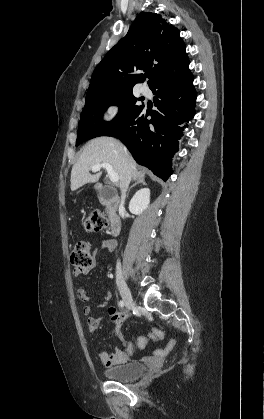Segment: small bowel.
<instances>
[{"label": "small bowel", "instance_id": "c3829d8e", "mask_svg": "<svg viewBox=\"0 0 264 419\" xmlns=\"http://www.w3.org/2000/svg\"><path fill=\"white\" fill-rule=\"evenodd\" d=\"M98 249L105 250L112 252L115 249V242L110 239H101L97 246ZM96 252V250H95ZM94 266L90 268H75L73 271V275L75 278H81L83 275H86ZM77 296L82 301H89L90 297L87 294V291L84 288H80L77 291ZM111 295L109 292L106 293L105 302L101 305V307H105L107 301L110 299ZM82 313L87 316V324L90 333L97 331L100 328L102 318H96L90 316L91 307L85 305L82 308ZM108 314L110 315L111 319L115 322L114 334L118 336L122 343L125 345V349L122 350L121 348H116L113 353L109 354L104 350H98L97 356L99 360L105 365L106 367H113L116 365L123 364L129 360V357L133 355L134 348L131 346L130 343H125L124 336L122 333V325L125 322L127 316L123 312H118L115 307L109 306L108 307ZM151 331H157L158 335L155 338V341L162 339L163 332L159 328H154ZM174 342H169L163 349H158L154 351L155 356H163L166 354L171 348L173 347Z\"/></svg>", "mask_w": 264, "mask_h": 419}]
</instances>
